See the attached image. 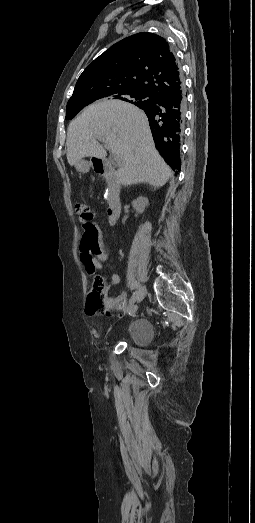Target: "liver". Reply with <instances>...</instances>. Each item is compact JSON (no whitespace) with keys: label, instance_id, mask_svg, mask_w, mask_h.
<instances>
[{"label":"liver","instance_id":"obj_1","mask_svg":"<svg viewBox=\"0 0 255 523\" xmlns=\"http://www.w3.org/2000/svg\"><path fill=\"white\" fill-rule=\"evenodd\" d=\"M66 144L70 166L88 156L104 160L106 150H112L123 160L117 172L122 186L148 182L161 188L172 176L155 148L145 112L122 100H100L84 108L68 126Z\"/></svg>","mask_w":255,"mask_h":523}]
</instances>
